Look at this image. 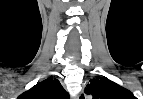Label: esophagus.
I'll return each instance as SVG.
<instances>
[{
  "mask_svg": "<svg viewBox=\"0 0 143 99\" xmlns=\"http://www.w3.org/2000/svg\"><path fill=\"white\" fill-rule=\"evenodd\" d=\"M85 98H86V95H85L84 91H81L79 93L78 99H85Z\"/></svg>",
  "mask_w": 143,
  "mask_h": 99,
  "instance_id": "obj_1",
  "label": "esophagus"
}]
</instances>
